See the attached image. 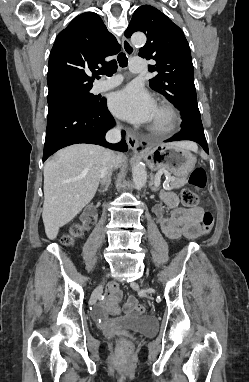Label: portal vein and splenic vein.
Returning a JSON list of instances; mask_svg holds the SVG:
<instances>
[{
    "instance_id": "portal-vein-and-splenic-vein-1",
    "label": "portal vein and splenic vein",
    "mask_w": 249,
    "mask_h": 382,
    "mask_svg": "<svg viewBox=\"0 0 249 382\" xmlns=\"http://www.w3.org/2000/svg\"><path fill=\"white\" fill-rule=\"evenodd\" d=\"M175 178L174 177H170L168 180L169 181H173ZM156 186H159L160 185V180L159 179H156Z\"/></svg>"
}]
</instances>
